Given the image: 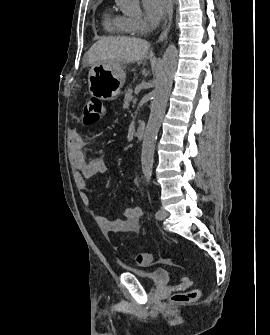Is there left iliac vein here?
Masks as SVG:
<instances>
[{
  "instance_id": "obj_1",
  "label": "left iliac vein",
  "mask_w": 270,
  "mask_h": 335,
  "mask_svg": "<svg viewBox=\"0 0 270 335\" xmlns=\"http://www.w3.org/2000/svg\"><path fill=\"white\" fill-rule=\"evenodd\" d=\"M159 211H160V215L157 217V219L158 220H164V219H166L167 216H168V212L165 209H163V208H161Z\"/></svg>"
}]
</instances>
